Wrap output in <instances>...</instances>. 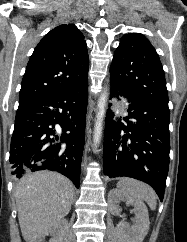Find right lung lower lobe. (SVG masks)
I'll use <instances>...</instances> for the list:
<instances>
[{
	"label": "right lung lower lobe",
	"instance_id": "1",
	"mask_svg": "<svg viewBox=\"0 0 187 242\" xmlns=\"http://www.w3.org/2000/svg\"><path fill=\"white\" fill-rule=\"evenodd\" d=\"M88 80L19 104L10 145L12 174L57 171L80 185Z\"/></svg>",
	"mask_w": 187,
	"mask_h": 242
}]
</instances>
